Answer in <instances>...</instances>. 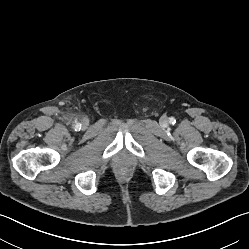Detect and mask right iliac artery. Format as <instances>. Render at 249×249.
<instances>
[{"mask_svg": "<svg viewBox=\"0 0 249 249\" xmlns=\"http://www.w3.org/2000/svg\"><path fill=\"white\" fill-rule=\"evenodd\" d=\"M80 126H81V124L77 123V124L75 125V128L78 129Z\"/></svg>", "mask_w": 249, "mask_h": 249, "instance_id": "right-iliac-artery-1", "label": "right iliac artery"}]
</instances>
